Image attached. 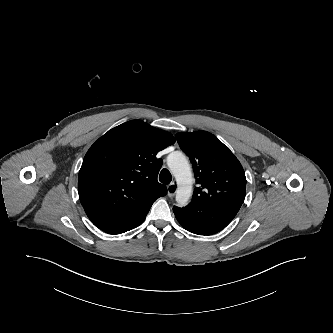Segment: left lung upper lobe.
<instances>
[{
  "instance_id": "left-lung-upper-lobe-1",
  "label": "left lung upper lobe",
  "mask_w": 333,
  "mask_h": 333,
  "mask_svg": "<svg viewBox=\"0 0 333 333\" xmlns=\"http://www.w3.org/2000/svg\"><path fill=\"white\" fill-rule=\"evenodd\" d=\"M180 147L189 156L198 187L192 202L237 195L244 201L246 177L242 165L230 149L206 131L178 133Z\"/></svg>"
}]
</instances>
